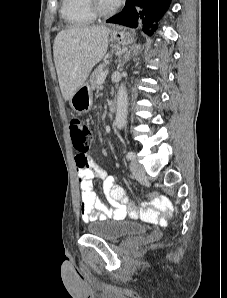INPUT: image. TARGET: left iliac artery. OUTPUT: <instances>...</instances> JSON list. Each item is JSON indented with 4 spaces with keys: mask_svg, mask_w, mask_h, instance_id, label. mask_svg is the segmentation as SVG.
<instances>
[{
    "mask_svg": "<svg viewBox=\"0 0 227 298\" xmlns=\"http://www.w3.org/2000/svg\"><path fill=\"white\" fill-rule=\"evenodd\" d=\"M126 158L128 160H134L135 159V153L134 152H128L126 155Z\"/></svg>",
    "mask_w": 227,
    "mask_h": 298,
    "instance_id": "44dca946",
    "label": "left iliac artery"
}]
</instances>
